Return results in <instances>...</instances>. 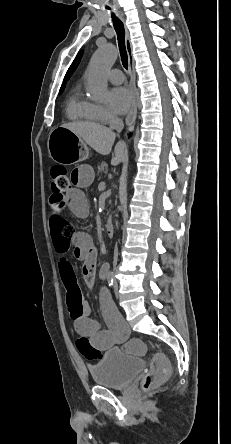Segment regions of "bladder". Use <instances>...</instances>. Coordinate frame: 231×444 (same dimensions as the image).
I'll use <instances>...</instances> for the list:
<instances>
[{
	"label": "bladder",
	"mask_w": 231,
	"mask_h": 444,
	"mask_svg": "<svg viewBox=\"0 0 231 444\" xmlns=\"http://www.w3.org/2000/svg\"><path fill=\"white\" fill-rule=\"evenodd\" d=\"M141 358L127 354L122 348L105 352L95 364L89 365L94 381L107 388H122L142 371Z\"/></svg>",
	"instance_id": "1"
}]
</instances>
